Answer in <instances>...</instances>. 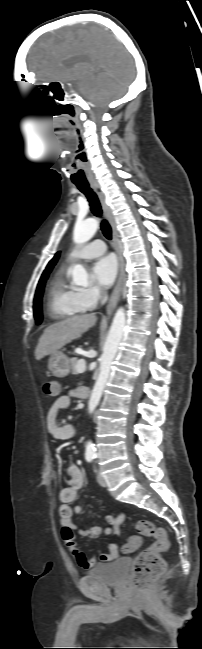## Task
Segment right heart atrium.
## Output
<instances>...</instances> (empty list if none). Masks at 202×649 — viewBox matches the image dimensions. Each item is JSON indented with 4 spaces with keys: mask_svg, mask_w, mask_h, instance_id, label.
<instances>
[{
    "mask_svg": "<svg viewBox=\"0 0 202 649\" xmlns=\"http://www.w3.org/2000/svg\"><path fill=\"white\" fill-rule=\"evenodd\" d=\"M102 297L103 291L96 286L81 289L79 291L80 301L87 309L95 307Z\"/></svg>",
    "mask_w": 202,
    "mask_h": 649,
    "instance_id": "d8ad5b80",
    "label": "right heart atrium"
}]
</instances>
